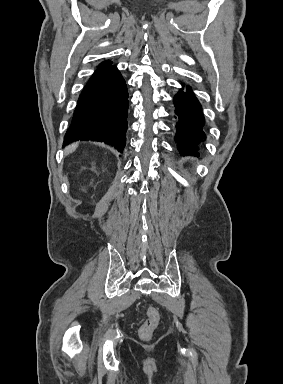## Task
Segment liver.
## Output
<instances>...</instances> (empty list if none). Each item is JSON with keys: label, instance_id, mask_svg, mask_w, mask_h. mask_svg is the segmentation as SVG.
Here are the masks:
<instances>
[{"label": "liver", "instance_id": "6515ba94", "mask_svg": "<svg viewBox=\"0 0 283 384\" xmlns=\"http://www.w3.org/2000/svg\"><path fill=\"white\" fill-rule=\"evenodd\" d=\"M78 148V142H75V144H71V146H67L65 148V156H68V154H72V152H75Z\"/></svg>", "mask_w": 283, "mask_h": 384}]
</instances>
